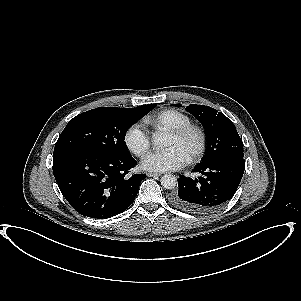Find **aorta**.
I'll use <instances>...</instances> for the list:
<instances>
[{"mask_svg":"<svg viewBox=\"0 0 301 301\" xmlns=\"http://www.w3.org/2000/svg\"><path fill=\"white\" fill-rule=\"evenodd\" d=\"M165 135L163 133H155L153 135V143L156 146H164L165 145ZM161 185L163 188L172 190L177 186V179L172 174H165L160 179Z\"/></svg>","mask_w":301,"mask_h":301,"instance_id":"762f6f07","label":"aorta"}]
</instances>
